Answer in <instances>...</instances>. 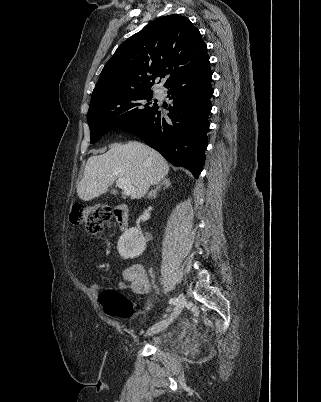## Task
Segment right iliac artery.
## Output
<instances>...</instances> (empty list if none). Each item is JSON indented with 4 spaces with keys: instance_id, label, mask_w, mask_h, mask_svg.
Returning <instances> with one entry per match:
<instances>
[{
    "instance_id": "right-iliac-artery-1",
    "label": "right iliac artery",
    "mask_w": 321,
    "mask_h": 402,
    "mask_svg": "<svg viewBox=\"0 0 321 402\" xmlns=\"http://www.w3.org/2000/svg\"><path fill=\"white\" fill-rule=\"evenodd\" d=\"M178 301H179L178 298H171V299L169 300V304H176Z\"/></svg>"
}]
</instances>
